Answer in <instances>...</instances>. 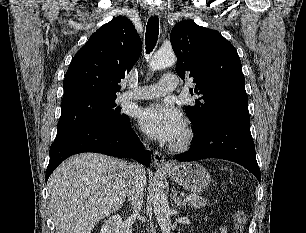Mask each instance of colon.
I'll use <instances>...</instances> for the list:
<instances>
[{
    "label": "colon",
    "mask_w": 306,
    "mask_h": 233,
    "mask_svg": "<svg viewBox=\"0 0 306 233\" xmlns=\"http://www.w3.org/2000/svg\"><path fill=\"white\" fill-rule=\"evenodd\" d=\"M246 224V215L244 211L238 210L233 218L234 233H243Z\"/></svg>",
    "instance_id": "1"
}]
</instances>
